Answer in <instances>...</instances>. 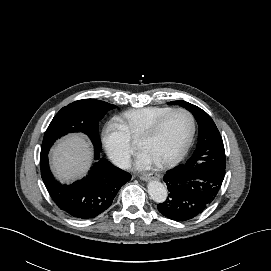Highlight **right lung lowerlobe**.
<instances>
[{
  "mask_svg": "<svg viewBox=\"0 0 271 271\" xmlns=\"http://www.w3.org/2000/svg\"><path fill=\"white\" fill-rule=\"evenodd\" d=\"M95 149L97 161L87 177L66 186L52 176L48 165V153L40 155V168L43 182L56 205L69 215L89 219L98 216L111 204L117 192L131 176L129 173L100 158Z\"/></svg>",
  "mask_w": 271,
  "mask_h": 271,
  "instance_id": "1",
  "label": "right lung lower lobe"
}]
</instances>
